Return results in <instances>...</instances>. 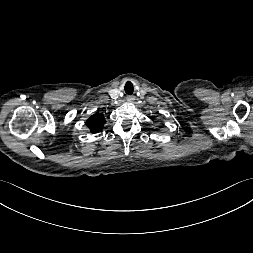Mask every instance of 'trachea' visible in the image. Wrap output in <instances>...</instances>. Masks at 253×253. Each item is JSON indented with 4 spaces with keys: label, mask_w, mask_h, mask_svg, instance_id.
<instances>
[{
    "label": "trachea",
    "mask_w": 253,
    "mask_h": 253,
    "mask_svg": "<svg viewBox=\"0 0 253 253\" xmlns=\"http://www.w3.org/2000/svg\"><path fill=\"white\" fill-rule=\"evenodd\" d=\"M126 94L131 95L133 93L134 87L130 81H127L124 87Z\"/></svg>",
    "instance_id": "1"
}]
</instances>
